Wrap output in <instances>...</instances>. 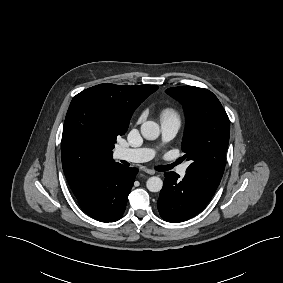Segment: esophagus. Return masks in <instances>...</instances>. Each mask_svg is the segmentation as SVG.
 <instances>
[{"mask_svg": "<svg viewBox=\"0 0 283 283\" xmlns=\"http://www.w3.org/2000/svg\"><path fill=\"white\" fill-rule=\"evenodd\" d=\"M143 171L147 174L154 175L155 171L153 169L144 168Z\"/></svg>", "mask_w": 283, "mask_h": 283, "instance_id": "34e87169", "label": "esophagus"}]
</instances>
